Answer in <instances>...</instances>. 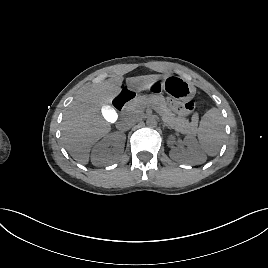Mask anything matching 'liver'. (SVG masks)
<instances>
[{
	"mask_svg": "<svg viewBox=\"0 0 268 268\" xmlns=\"http://www.w3.org/2000/svg\"><path fill=\"white\" fill-rule=\"evenodd\" d=\"M161 78L160 75H143L126 79L129 87H146ZM123 76L107 80L80 90L69 105L62 122L63 141L67 151L76 161L87 164L91 147L111 131L107 115L101 107L108 105L120 93ZM109 110V108H106Z\"/></svg>",
	"mask_w": 268,
	"mask_h": 268,
	"instance_id": "liver-1",
	"label": "liver"
}]
</instances>
